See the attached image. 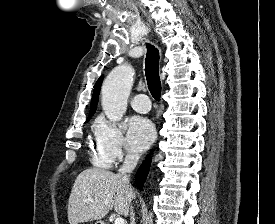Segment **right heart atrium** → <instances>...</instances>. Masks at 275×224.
Here are the masks:
<instances>
[{
    "label": "right heart atrium",
    "mask_w": 275,
    "mask_h": 224,
    "mask_svg": "<svg viewBox=\"0 0 275 224\" xmlns=\"http://www.w3.org/2000/svg\"><path fill=\"white\" fill-rule=\"evenodd\" d=\"M95 138L98 146L113 162L134 156L126 144L123 130L119 124L99 120L95 128Z\"/></svg>",
    "instance_id": "right-heart-atrium-1"
}]
</instances>
